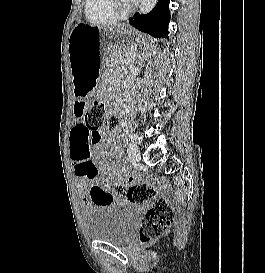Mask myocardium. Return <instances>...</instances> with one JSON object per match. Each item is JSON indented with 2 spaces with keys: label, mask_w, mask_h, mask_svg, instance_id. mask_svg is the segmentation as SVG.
I'll return each instance as SVG.
<instances>
[{
  "label": "myocardium",
  "mask_w": 265,
  "mask_h": 273,
  "mask_svg": "<svg viewBox=\"0 0 265 273\" xmlns=\"http://www.w3.org/2000/svg\"><path fill=\"white\" fill-rule=\"evenodd\" d=\"M110 10L115 13L119 18L126 17L134 8V4L131 2L125 6L120 5L119 0H107Z\"/></svg>",
  "instance_id": "f54148a6"
}]
</instances>
